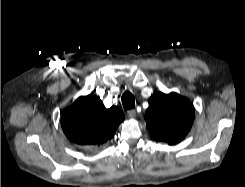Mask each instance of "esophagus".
<instances>
[{
    "label": "esophagus",
    "mask_w": 245,
    "mask_h": 187,
    "mask_svg": "<svg viewBox=\"0 0 245 187\" xmlns=\"http://www.w3.org/2000/svg\"><path fill=\"white\" fill-rule=\"evenodd\" d=\"M127 115L130 119L136 118V111L134 109L128 110Z\"/></svg>",
    "instance_id": "1"
}]
</instances>
